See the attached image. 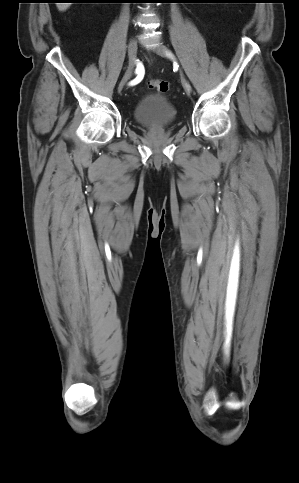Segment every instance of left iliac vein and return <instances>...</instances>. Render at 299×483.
Listing matches in <instances>:
<instances>
[{
    "instance_id": "4c4485c4",
    "label": "left iliac vein",
    "mask_w": 299,
    "mask_h": 483,
    "mask_svg": "<svg viewBox=\"0 0 299 483\" xmlns=\"http://www.w3.org/2000/svg\"><path fill=\"white\" fill-rule=\"evenodd\" d=\"M154 52L157 53L158 55H161V56H164V57H167L169 59H171L172 61H175L174 57L172 55L169 54V51L168 49L166 48V46L162 45V44H158L155 48H154ZM181 81H182V85L185 89V91L187 93H189V87H188V84H187V81L184 77V75L181 73Z\"/></svg>"
}]
</instances>
